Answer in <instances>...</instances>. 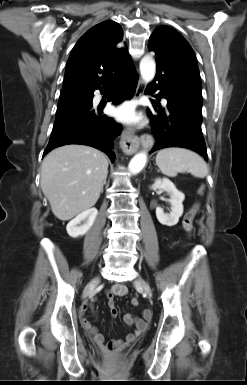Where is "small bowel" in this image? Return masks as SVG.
Returning <instances> with one entry per match:
<instances>
[{
	"mask_svg": "<svg viewBox=\"0 0 247 385\" xmlns=\"http://www.w3.org/2000/svg\"><path fill=\"white\" fill-rule=\"evenodd\" d=\"M127 294V287L123 284H115L110 289L106 291V296L108 299V306L110 308V315L112 317H116L118 315V310L114 304L115 296H124ZM96 300L95 297H91L87 303L81 306L80 315H81V323L84 329L93 337L94 341L98 346L102 348H108V345L111 344L115 348L122 349L129 344H131L137 337L140 336L142 331L146 329L148 324L152 319V313L150 310H144L141 314V317H136L132 314L124 315V322L134 328V331L126 336L124 340H113L108 344L105 343L104 335L98 331V329L90 323V321L86 318L85 313L87 309L93 304Z\"/></svg>",
	"mask_w": 247,
	"mask_h": 385,
	"instance_id": "obj_1",
	"label": "small bowel"
}]
</instances>
